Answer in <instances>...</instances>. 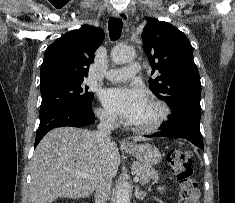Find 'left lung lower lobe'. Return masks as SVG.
I'll return each instance as SVG.
<instances>
[{
  "instance_id": "obj_1",
  "label": "left lung lower lobe",
  "mask_w": 235,
  "mask_h": 203,
  "mask_svg": "<svg viewBox=\"0 0 235 203\" xmlns=\"http://www.w3.org/2000/svg\"><path fill=\"white\" fill-rule=\"evenodd\" d=\"M200 114L201 112L194 109L184 110L171 116L170 119L160 127L161 132L146 135V137L184 138L204 150L199 128Z\"/></svg>"
}]
</instances>
